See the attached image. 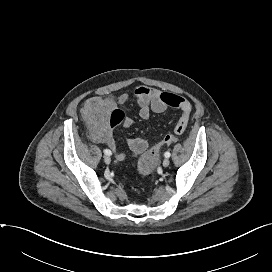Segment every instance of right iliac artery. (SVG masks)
<instances>
[{
    "label": "right iliac artery",
    "mask_w": 272,
    "mask_h": 272,
    "mask_svg": "<svg viewBox=\"0 0 272 272\" xmlns=\"http://www.w3.org/2000/svg\"><path fill=\"white\" fill-rule=\"evenodd\" d=\"M104 154L110 156L112 155V152L109 149H105Z\"/></svg>",
    "instance_id": "right-iliac-artery-1"
}]
</instances>
